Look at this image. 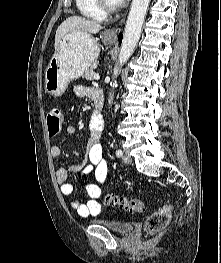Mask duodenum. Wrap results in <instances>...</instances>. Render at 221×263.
Wrapping results in <instances>:
<instances>
[{
    "mask_svg": "<svg viewBox=\"0 0 221 263\" xmlns=\"http://www.w3.org/2000/svg\"><path fill=\"white\" fill-rule=\"evenodd\" d=\"M95 105V110L92 116V121L97 128L103 127V119H102V108H103V94L95 93L92 97Z\"/></svg>",
    "mask_w": 221,
    "mask_h": 263,
    "instance_id": "duodenum-1",
    "label": "duodenum"
}]
</instances>
